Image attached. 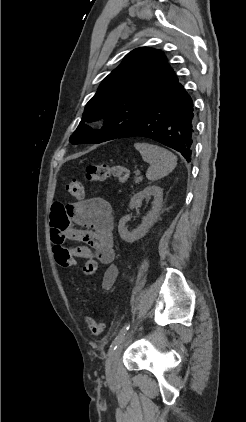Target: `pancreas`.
I'll return each mask as SVG.
<instances>
[{
  "label": "pancreas",
  "mask_w": 246,
  "mask_h": 422,
  "mask_svg": "<svg viewBox=\"0 0 246 422\" xmlns=\"http://www.w3.org/2000/svg\"><path fill=\"white\" fill-rule=\"evenodd\" d=\"M141 180H142V178H141V177H136V178L134 179V182L137 184V183H139Z\"/></svg>",
  "instance_id": "1"
}]
</instances>
